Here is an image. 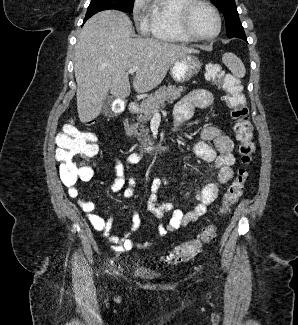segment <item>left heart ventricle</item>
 <instances>
[{
  "mask_svg": "<svg viewBox=\"0 0 298 325\" xmlns=\"http://www.w3.org/2000/svg\"><path fill=\"white\" fill-rule=\"evenodd\" d=\"M187 24L191 31L202 40L210 38L216 30L213 16L202 6H196L192 9Z\"/></svg>",
  "mask_w": 298,
  "mask_h": 325,
  "instance_id": "b2bd125f",
  "label": "left heart ventricle"
}]
</instances>
